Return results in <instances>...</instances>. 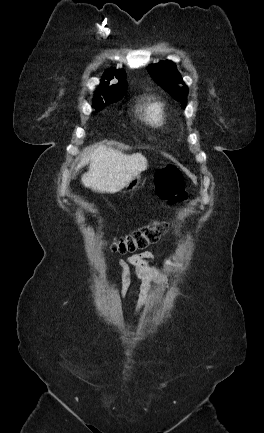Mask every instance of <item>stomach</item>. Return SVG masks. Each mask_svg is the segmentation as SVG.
Listing matches in <instances>:
<instances>
[{
  "label": "stomach",
  "mask_w": 264,
  "mask_h": 433,
  "mask_svg": "<svg viewBox=\"0 0 264 433\" xmlns=\"http://www.w3.org/2000/svg\"><path fill=\"white\" fill-rule=\"evenodd\" d=\"M141 177L140 175L134 176L127 184L122 188L123 192H130L137 188L140 183Z\"/></svg>",
  "instance_id": "obj_1"
}]
</instances>
